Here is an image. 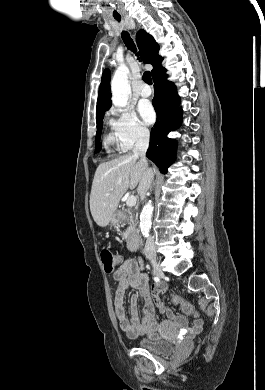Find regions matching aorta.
Segmentation results:
<instances>
[{
    "instance_id": "1",
    "label": "aorta",
    "mask_w": 265,
    "mask_h": 390,
    "mask_svg": "<svg viewBox=\"0 0 265 390\" xmlns=\"http://www.w3.org/2000/svg\"><path fill=\"white\" fill-rule=\"evenodd\" d=\"M129 69L126 65H120L114 73L111 81L112 102L120 107L127 105L131 94V87L128 81ZM153 205L149 201L142 209L140 215V229L144 237H148L152 224Z\"/></svg>"
}]
</instances>
